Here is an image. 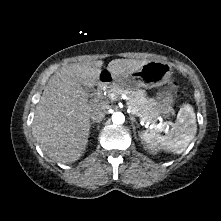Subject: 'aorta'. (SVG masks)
Returning <instances> with one entry per match:
<instances>
[{
  "label": "aorta",
  "instance_id": "1",
  "mask_svg": "<svg viewBox=\"0 0 221 221\" xmlns=\"http://www.w3.org/2000/svg\"><path fill=\"white\" fill-rule=\"evenodd\" d=\"M124 121H125V116H124L123 113H121V112H114L112 114V122L114 124H117V125L123 124Z\"/></svg>",
  "mask_w": 221,
  "mask_h": 221
}]
</instances>
